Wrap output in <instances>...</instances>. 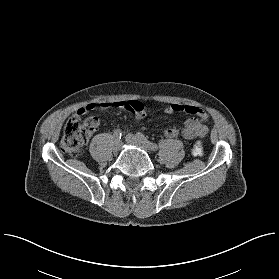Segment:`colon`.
Masks as SVG:
<instances>
[{"mask_svg":"<svg viewBox=\"0 0 279 279\" xmlns=\"http://www.w3.org/2000/svg\"><path fill=\"white\" fill-rule=\"evenodd\" d=\"M126 109L139 113L143 106L139 101H128L124 103ZM99 125V119L88 117L84 121L76 117H70L64 124L63 136L61 139V150L73 157H79L82 154L84 145L90 138L94 130ZM203 153V145L197 141L192 147V154L199 156Z\"/></svg>","mask_w":279,"mask_h":279,"instance_id":"1","label":"colon"}]
</instances>
